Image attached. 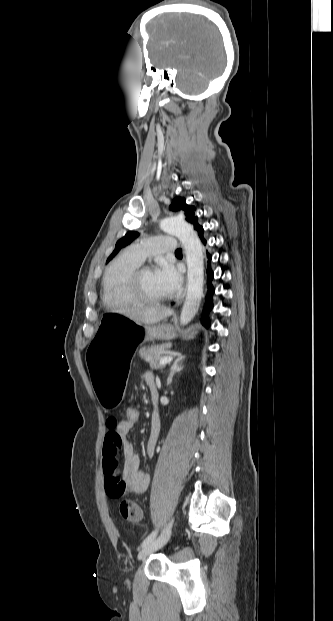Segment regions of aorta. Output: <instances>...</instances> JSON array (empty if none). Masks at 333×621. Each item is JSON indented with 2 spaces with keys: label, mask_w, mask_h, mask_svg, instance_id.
Instances as JSON below:
<instances>
[{
  "label": "aorta",
  "mask_w": 333,
  "mask_h": 621,
  "mask_svg": "<svg viewBox=\"0 0 333 621\" xmlns=\"http://www.w3.org/2000/svg\"><path fill=\"white\" fill-rule=\"evenodd\" d=\"M160 227L166 233L176 236L186 253L188 287L180 315V323L186 325L195 317L203 295V248L193 227L181 218H166L161 221Z\"/></svg>",
  "instance_id": "obj_1"
}]
</instances>
